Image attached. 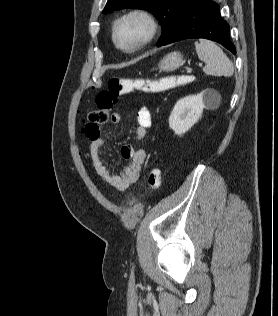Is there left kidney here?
<instances>
[{
    "label": "left kidney",
    "mask_w": 278,
    "mask_h": 316,
    "mask_svg": "<svg viewBox=\"0 0 278 316\" xmlns=\"http://www.w3.org/2000/svg\"><path fill=\"white\" fill-rule=\"evenodd\" d=\"M214 91L206 89L177 101L170 117L169 126L177 135L186 133L200 119L203 109L213 102Z\"/></svg>",
    "instance_id": "5707ae66"
}]
</instances>
